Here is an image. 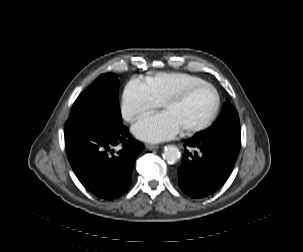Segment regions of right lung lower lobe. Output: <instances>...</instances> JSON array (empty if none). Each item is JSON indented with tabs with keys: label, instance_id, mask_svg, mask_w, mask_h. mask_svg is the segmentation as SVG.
<instances>
[{
	"label": "right lung lower lobe",
	"instance_id": "right-lung-lower-lobe-1",
	"mask_svg": "<svg viewBox=\"0 0 303 252\" xmlns=\"http://www.w3.org/2000/svg\"><path fill=\"white\" fill-rule=\"evenodd\" d=\"M65 143L72 169L80 182L104 199L121 196L131 185L136 157L143 144L130 138L123 124L92 118L67 122ZM122 149L115 153V146Z\"/></svg>",
	"mask_w": 303,
	"mask_h": 252
}]
</instances>
